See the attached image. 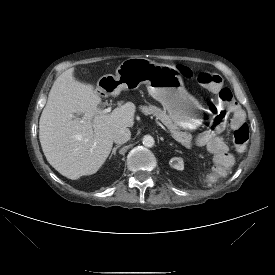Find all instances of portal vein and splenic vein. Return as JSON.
<instances>
[{
    "mask_svg": "<svg viewBox=\"0 0 275 275\" xmlns=\"http://www.w3.org/2000/svg\"><path fill=\"white\" fill-rule=\"evenodd\" d=\"M110 111H111V108H106V109L103 110L104 113H107V112H110ZM156 123H157L163 130H165L167 133H169V131H168L159 121L156 120ZM171 136H172L175 140H177V138L174 137L172 134H171ZM177 141H178V140H177Z\"/></svg>",
    "mask_w": 275,
    "mask_h": 275,
    "instance_id": "obj_1",
    "label": "portal vein and splenic vein"
}]
</instances>
